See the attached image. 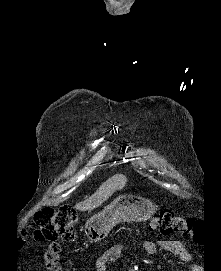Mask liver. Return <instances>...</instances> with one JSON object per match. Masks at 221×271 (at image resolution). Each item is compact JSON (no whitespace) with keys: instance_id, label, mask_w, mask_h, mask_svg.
<instances>
[{"instance_id":"1","label":"liver","mask_w":221,"mask_h":271,"mask_svg":"<svg viewBox=\"0 0 221 271\" xmlns=\"http://www.w3.org/2000/svg\"><path fill=\"white\" fill-rule=\"evenodd\" d=\"M119 183H121V181H119ZM112 185L110 179H107V181L102 183L99 189H97L93 195H90L88 199L80 201V203H76V209H80V211H88V209L99 207V205H102L103 201H106V199L110 197L111 193H113Z\"/></svg>"}]
</instances>
